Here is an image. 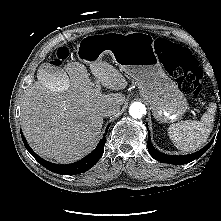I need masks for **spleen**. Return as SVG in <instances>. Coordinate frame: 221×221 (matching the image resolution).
<instances>
[{
	"mask_svg": "<svg viewBox=\"0 0 221 221\" xmlns=\"http://www.w3.org/2000/svg\"><path fill=\"white\" fill-rule=\"evenodd\" d=\"M216 109V104L211 103L208 112L203 114L200 121L187 120L170 125L168 135L173 144L185 152L200 149L213 130Z\"/></svg>",
	"mask_w": 221,
	"mask_h": 221,
	"instance_id": "1",
	"label": "spleen"
}]
</instances>
